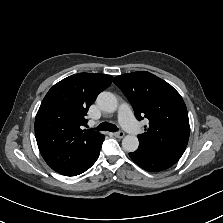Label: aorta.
Returning <instances> with one entry per match:
<instances>
[{
  "label": "aorta",
  "mask_w": 223,
  "mask_h": 223,
  "mask_svg": "<svg viewBox=\"0 0 223 223\" xmlns=\"http://www.w3.org/2000/svg\"><path fill=\"white\" fill-rule=\"evenodd\" d=\"M96 104L100 110L108 113H113L116 111L118 102L116 96L107 91L101 92L97 99ZM139 141L136 136L127 135L122 140V147L127 152H134L138 149Z\"/></svg>",
  "instance_id": "762f6f07"
}]
</instances>
